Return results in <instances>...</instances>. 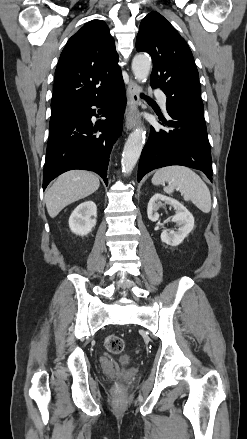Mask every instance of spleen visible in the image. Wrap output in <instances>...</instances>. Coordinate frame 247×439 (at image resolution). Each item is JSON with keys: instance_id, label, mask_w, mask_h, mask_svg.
<instances>
[{"instance_id": "spleen-1", "label": "spleen", "mask_w": 247, "mask_h": 439, "mask_svg": "<svg viewBox=\"0 0 247 439\" xmlns=\"http://www.w3.org/2000/svg\"><path fill=\"white\" fill-rule=\"evenodd\" d=\"M167 182L164 192L172 194L179 190L185 201H191L203 213L211 210V195L207 185L198 174L184 166L164 167L155 172L152 178L154 185Z\"/></svg>"}]
</instances>
